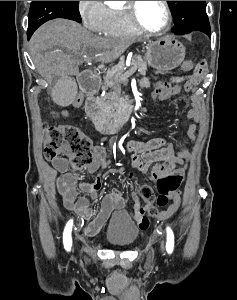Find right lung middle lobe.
<instances>
[{
    "mask_svg": "<svg viewBox=\"0 0 237 300\" xmlns=\"http://www.w3.org/2000/svg\"><path fill=\"white\" fill-rule=\"evenodd\" d=\"M55 18H66L81 23L78 1H32L28 29L34 31L46 21Z\"/></svg>",
    "mask_w": 237,
    "mask_h": 300,
    "instance_id": "obj_1",
    "label": "right lung middle lobe"
}]
</instances>
